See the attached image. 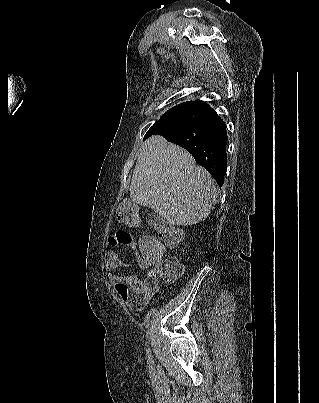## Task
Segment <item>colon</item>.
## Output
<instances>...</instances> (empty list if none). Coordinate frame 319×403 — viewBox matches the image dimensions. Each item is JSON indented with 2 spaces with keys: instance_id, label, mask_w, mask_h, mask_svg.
<instances>
[{
  "instance_id": "1",
  "label": "colon",
  "mask_w": 319,
  "mask_h": 403,
  "mask_svg": "<svg viewBox=\"0 0 319 403\" xmlns=\"http://www.w3.org/2000/svg\"><path fill=\"white\" fill-rule=\"evenodd\" d=\"M121 202L122 206L116 213L118 220L127 225H138L141 215L138 207L133 203V198L123 197ZM148 221L159 234H141L138 236L139 248L134 249V251L141 252L147 259L156 263V269L148 273L145 278L152 294L156 291L159 280L172 282L183 274L184 268L176 259L162 260L166 247H174L180 242L181 232L166 224L156 215H150Z\"/></svg>"
}]
</instances>
